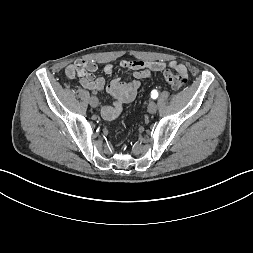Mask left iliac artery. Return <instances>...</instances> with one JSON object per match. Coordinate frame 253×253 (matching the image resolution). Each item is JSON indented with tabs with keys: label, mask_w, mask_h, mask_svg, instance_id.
Listing matches in <instances>:
<instances>
[{
	"label": "left iliac artery",
	"mask_w": 253,
	"mask_h": 253,
	"mask_svg": "<svg viewBox=\"0 0 253 253\" xmlns=\"http://www.w3.org/2000/svg\"><path fill=\"white\" fill-rule=\"evenodd\" d=\"M151 97H152L153 99H156V98L158 97V92H157L156 90H153V91L151 92Z\"/></svg>",
	"instance_id": "left-iliac-artery-1"
}]
</instances>
